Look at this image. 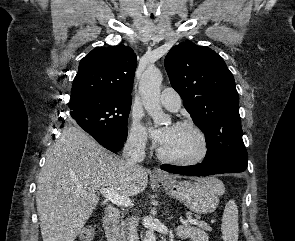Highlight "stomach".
Returning a JSON list of instances; mask_svg holds the SVG:
<instances>
[{
    "label": "stomach",
    "instance_id": "0dacf381",
    "mask_svg": "<svg viewBox=\"0 0 295 241\" xmlns=\"http://www.w3.org/2000/svg\"><path fill=\"white\" fill-rule=\"evenodd\" d=\"M159 182L168 195L198 214L215 211L219 204V196L225 191L224 185L219 180L213 184H208L203 180L178 181L173 179Z\"/></svg>",
    "mask_w": 295,
    "mask_h": 241
}]
</instances>
